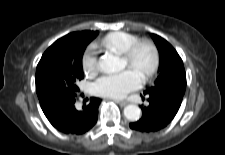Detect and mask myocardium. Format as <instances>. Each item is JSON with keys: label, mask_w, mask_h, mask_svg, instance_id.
<instances>
[{"label": "myocardium", "mask_w": 225, "mask_h": 155, "mask_svg": "<svg viewBox=\"0 0 225 155\" xmlns=\"http://www.w3.org/2000/svg\"><path fill=\"white\" fill-rule=\"evenodd\" d=\"M147 49L150 53V63L142 75L144 81L150 79L157 71L159 66V50L156 44L149 39H138L124 53L123 58L129 66L135 65L140 50Z\"/></svg>", "instance_id": "myocardium-1"}]
</instances>
